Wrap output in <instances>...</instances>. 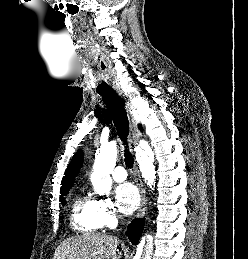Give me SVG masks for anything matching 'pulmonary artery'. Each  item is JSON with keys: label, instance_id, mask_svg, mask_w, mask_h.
<instances>
[{"label": "pulmonary artery", "instance_id": "1", "mask_svg": "<svg viewBox=\"0 0 248 259\" xmlns=\"http://www.w3.org/2000/svg\"><path fill=\"white\" fill-rule=\"evenodd\" d=\"M126 177V170L122 166H117L112 172V178L117 182L124 181Z\"/></svg>", "mask_w": 248, "mask_h": 259}]
</instances>
